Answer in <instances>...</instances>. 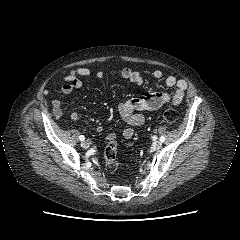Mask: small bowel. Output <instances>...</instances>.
<instances>
[{"instance_id":"c3829d8e","label":"small bowel","mask_w":240,"mask_h":240,"mask_svg":"<svg viewBox=\"0 0 240 240\" xmlns=\"http://www.w3.org/2000/svg\"><path fill=\"white\" fill-rule=\"evenodd\" d=\"M92 72L86 67H78L70 70L63 78V85L61 87V92L64 95L71 94L72 92L78 90L82 86L81 78L90 77ZM108 74L104 71H98L96 77L99 79H104ZM121 77L131 83L136 85H141L144 81L142 74L130 68H124L121 70ZM153 77L155 79H162L163 72L160 70H155L153 72ZM165 83L170 88H175L172 94L165 92H152L144 97L131 98L126 101H121L118 104V111L122 119L128 124L122 130V136L129 139L133 136L134 130L132 127H140L145 123V117L141 113L142 111H154L161 108L165 104H171L173 106H179L185 95V91L188 87L187 82L183 79H177L174 76H168L165 78ZM52 112L54 116H62V107L58 99H53L52 102ZM70 119L72 121L78 122L80 116L78 113L73 112L70 114ZM104 127L98 125L96 127L97 132H102ZM115 134L110 133L107 139H115Z\"/></svg>"}]
</instances>
